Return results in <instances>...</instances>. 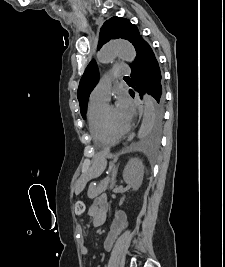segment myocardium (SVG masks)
<instances>
[{"label":"myocardium","instance_id":"1","mask_svg":"<svg viewBox=\"0 0 225 267\" xmlns=\"http://www.w3.org/2000/svg\"><path fill=\"white\" fill-rule=\"evenodd\" d=\"M110 108H112L111 105H106V107L104 108V110H103V112H102V117H101V119H102V126H103L105 132H106L109 136H111L112 138H114V139L117 141V140L121 139L123 136H125V135L128 133V131H129L130 128H129V126H128L125 130H123V131H119V132L113 130V129L110 127V125H109V123H108V120H107V111H108Z\"/></svg>","mask_w":225,"mask_h":267}]
</instances>
